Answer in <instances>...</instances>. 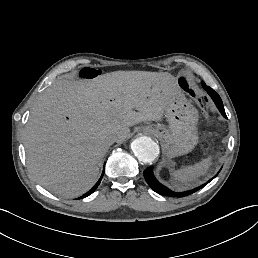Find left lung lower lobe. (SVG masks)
Masks as SVG:
<instances>
[{"instance_id": "obj_1", "label": "left lung lower lobe", "mask_w": 258, "mask_h": 258, "mask_svg": "<svg viewBox=\"0 0 258 258\" xmlns=\"http://www.w3.org/2000/svg\"><path fill=\"white\" fill-rule=\"evenodd\" d=\"M203 88L208 92V94L210 95V97L213 99V101L215 102L217 108L219 109V111L221 112V114L227 118L226 114H225V110H224V106L222 103V100L220 98V96L213 90L211 89L209 86H207L205 83H202ZM153 167H148L145 169L144 171V177L145 180L147 181V183L149 184V186L157 193L161 194V195H166V196H173V197H182V196H187L190 195L196 191H198L199 189H201L202 187H204L206 184H208L211 180H213L214 176L212 179H210L207 183L194 188L192 190H188L185 192H174L170 189H168L167 187H165L164 185H162L161 183H159L157 181V179L153 176V172H152Z\"/></svg>"}]
</instances>
